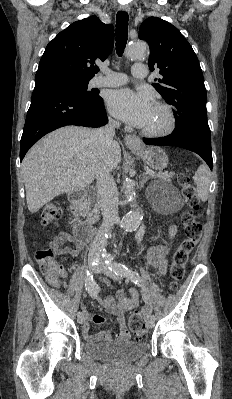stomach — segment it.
<instances>
[{"instance_id": "0dacf381", "label": "stomach", "mask_w": 232, "mask_h": 399, "mask_svg": "<svg viewBox=\"0 0 232 399\" xmlns=\"http://www.w3.org/2000/svg\"><path fill=\"white\" fill-rule=\"evenodd\" d=\"M138 148L140 150H135V148H131V152L139 156L147 166L153 168V170H164L167 168V164L169 162L168 156H166L165 152L158 148V146H151V148H146L144 144H141V140L138 144Z\"/></svg>"}]
</instances>
